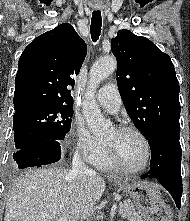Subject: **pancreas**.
Returning <instances> with one entry per match:
<instances>
[{
	"label": "pancreas",
	"mask_w": 190,
	"mask_h": 221,
	"mask_svg": "<svg viewBox=\"0 0 190 221\" xmlns=\"http://www.w3.org/2000/svg\"><path fill=\"white\" fill-rule=\"evenodd\" d=\"M125 207L120 209V214L128 221H143L142 217L135 211L134 205L130 202H124Z\"/></svg>",
	"instance_id": "cf45deb5"
}]
</instances>
